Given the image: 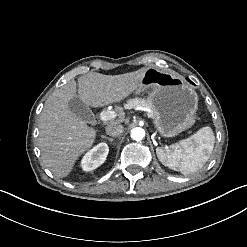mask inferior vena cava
Here are the masks:
<instances>
[{
	"label": "inferior vena cava",
	"instance_id": "602c4592",
	"mask_svg": "<svg viewBox=\"0 0 247 247\" xmlns=\"http://www.w3.org/2000/svg\"><path fill=\"white\" fill-rule=\"evenodd\" d=\"M106 132L110 136H120L124 132V127L119 122H113L107 125Z\"/></svg>",
	"mask_w": 247,
	"mask_h": 247
}]
</instances>
